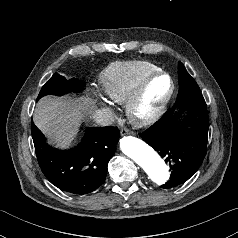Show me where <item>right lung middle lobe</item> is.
<instances>
[{
  "label": "right lung middle lobe",
  "mask_w": 238,
  "mask_h": 238,
  "mask_svg": "<svg viewBox=\"0 0 238 238\" xmlns=\"http://www.w3.org/2000/svg\"><path fill=\"white\" fill-rule=\"evenodd\" d=\"M82 83L80 80L76 78L72 79H65L58 73H55L42 87L38 98L40 99L43 96L46 95H56V96H62L69 92H78L81 88Z\"/></svg>",
  "instance_id": "right-lung-middle-lobe-1"
}]
</instances>
